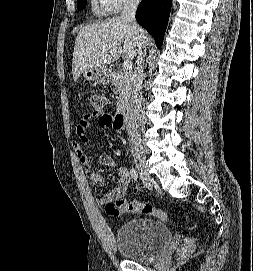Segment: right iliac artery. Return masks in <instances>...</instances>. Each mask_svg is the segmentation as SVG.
I'll return each instance as SVG.
<instances>
[{
  "label": "right iliac artery",
  "instance_id": "obj_1",
  "mask_svg": "<svg viewBox=\"0 0 253 271\" xmlns=\"http://www.w3.org/2000/svg\"><path fill=\"white\" fill-rule=\"evenodd\" d=\"M130 175H131L132 179H134L135 181L137 180V178H138V173H137V171H136L135 168L132 167V168L130 169Z\"/></svg>",
  "mask_w": 253,
  "mask_h": 271
}]
</instances>
